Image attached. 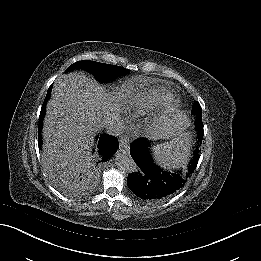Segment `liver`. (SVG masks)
I'll return each mask as SVG.
<instances>
[{
  "label": "liver",
  "mask_w": 261,
  "mask_h": 261,
  "mask_svg": "<svg viewBox=\"0 0 261 261\" xmlns=\"http://www.w3.org/2000/svg\"><path fill=\"white\" fill-rule=\"evenodd\" d=\"M126 96L107 92L84 73L58 80L52 89L43 121L41 161L52 175L61 169H84L93 160L94 137L106 120L119 117Z\"/></svg>",
  "instance_id": "obj_1"
}]
</instances>
